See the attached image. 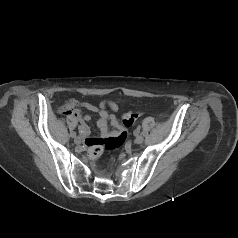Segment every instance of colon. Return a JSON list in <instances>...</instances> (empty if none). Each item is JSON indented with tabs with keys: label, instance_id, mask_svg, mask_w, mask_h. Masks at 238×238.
Returning a JSON list of instances; mask_svg holds the SVG:
<instances>
[{
	"label": "colon",
	"instance_id": "5ec220e1",
	"mask_svg": "<svg viewBox=\"0 0 238 238\" xmlns=\"http://www.w3.org/2000/svg\"><path fill=\"white\" fill-rule=\"evenodd\" d=\"M138 118V113L135 112H124L120 115L119 120L123 125L121 134L116 137H109L103 140H99L94 146L89 150L90 157L96 158L100 156L105 149L112 150L123 144L127 137V130Z\"/></svg>",
	"mask_w": 238,
	"mask_h": 238
}]
</instances>
